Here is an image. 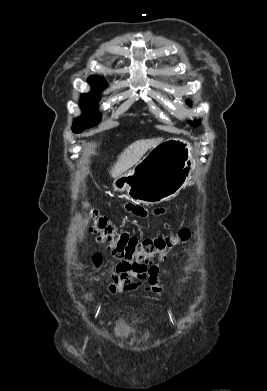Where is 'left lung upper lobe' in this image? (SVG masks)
<instances>
[{
	"instance_id": "obj_1",
	"label": "left lung upper lobe",
	"mask_w": 267,
	"mask_h": 391,
	"mask_svg": "<svg viewBox=\"0 0 267 391\" xmlns=\"http://www.w3.org/2000/svg\"><path fill=\"white\" fill-rule=\"evenodd\" d=\"M192 126H197L199 124V122H197V120H194L193 122H190Z\"/></svg>"
}]
</instances>
